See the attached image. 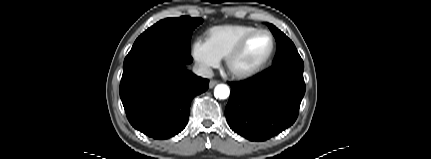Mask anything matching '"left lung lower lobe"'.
Instances as JSON below:
<instances>
[{"label": "left lung lower lobe", "instance_id": "obj_1", "mask_svg": "<svg viewBox=\"0 0 431 159\" xmlns=\"http://www.w3.org/2000/svg\"><path fill=\"white\" fill-rule=\"evenodd\" d=\"M303 69V63H281L230 82L225 108L230 128L250 141H265L293 125L305 94Z\"/></svg>", "mask_w": 431, "mask_h": 159}]
</instances>
